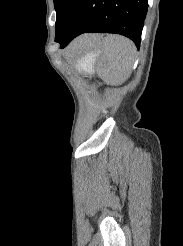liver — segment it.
I'll list each match as a JSON object with an SVG mask.
<instances>
[{
  "label": "liver",
  "instance_id": "liver-1",
  "mask_svg": "<svg viewBox=\"0 0 183 246\" xmlns=\"http://www.w3.org/2000/svg\"><path fill=\"white\" fill-rule=\"evenodd\" d=\"M99 35H83L80 36L73 44L74 47H88L96 45L100 42Z\"/></svg>",
  "mask_w": 183,
  "mask_h": 246
}]
</instances>
